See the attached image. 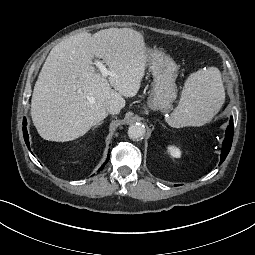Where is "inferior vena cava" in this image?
Here are the masks:
<instances>
[{"label":"inferior vena cava","mask_w":255,"mask_h":255,"mask_svg":"<svg viewBox=\"0 0 255 255\" xmlns=\"http://www.w3.org/2000/svg\"><path fill=\"white\" fill-rule=\"evenodd\" d=\"M105 107L110 114H118L121 110L119 103L113 99L107 100L105 102Z\"/></svg>","instance_id":"1"}]
</instances>
